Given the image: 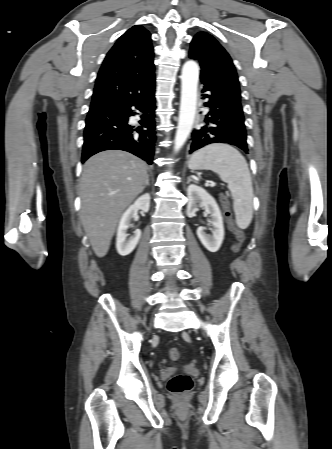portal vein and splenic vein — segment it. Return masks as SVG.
I'll return each instance as SVG.
<instances>
[{"label": "portal vein and splenic vein", "instance_id": "obj_1", "mask_svg": "<svg viewBox=\"0 0 332 449\" xmlns=\"http://www.w3.org/2000/svg\"><path fill=\"white\" fill-rule=\"evenodd\" d=\"M210 186H215V183H214V182H211Z\"/></svg>", "mask_w": 332, "mask_h": 449}]
</instances>
